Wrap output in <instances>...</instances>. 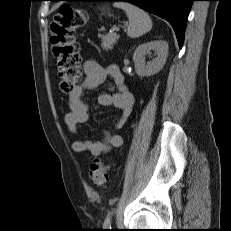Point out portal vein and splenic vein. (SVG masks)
I'll use <instances>...</instances> for the list:
<instances>
[{"label":"portal vein and splenic vein","instance_id":"18ae733b","mask_svg":"<svg viewBox=\"0 0 231 231\" xmlns=\"http://www.w3.org/2000/svg\"><path fill=\"white\" fill-rule=\"evenodd\" d=\"M115 30H116V31H119V27H116Z\"/></svg>","mask_w":231,"mask_h":231}]
</instances>
